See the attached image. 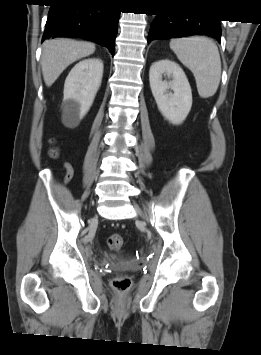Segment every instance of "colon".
<instances>
[{
    "mask_svg": "<svg viewBox=\"0 0 261 355\" xmlns=\"http://www.w3.org/2000/svg\"><path fill=\"white\" fill-rule=\"evenodd\" d=\"M50 156L55 157L56 152L55 151L50 152ZM72 175H73L72 172L68 171L66 173L64 182L69 181ZM107 245L111 250H119L123 245V239L121 235L118 233H112L108 235ZM130 285H131V280L127 276H119L114 278L112 281L113 288L119 292L127 291L130 288Z\"/></svg>",
    "mask_w": 261,
    "mask_h": 355,
    "instance_id": "colon-1",
    "label": "colon"
}]
</instances>
